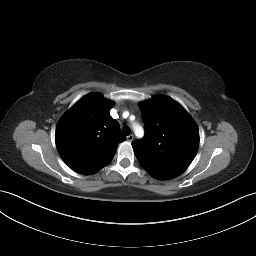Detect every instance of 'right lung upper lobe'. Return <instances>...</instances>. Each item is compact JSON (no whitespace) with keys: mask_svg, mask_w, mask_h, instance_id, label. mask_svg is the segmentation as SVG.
I'll return each instance as SVG.
<instances>
[{"mask_svg":"<svg viewBox=\"0 0 256 256\" xmlns=\"http://www.w3.org/2000/svg\"><path fill=\"white\" fill-rule=\"evenodd\" d=\"M114 103L99 93L88 94L58 122L56 146L66 165L79 174H93L114 157L126 137L110 116Z\"/></svg>","mask_w":256,"mask_h":256,"instance_id":"1","label":"right lung upper lobe"}]
</instances>
